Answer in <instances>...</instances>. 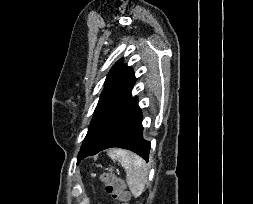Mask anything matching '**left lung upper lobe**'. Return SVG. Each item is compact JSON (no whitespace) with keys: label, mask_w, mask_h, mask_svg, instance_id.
I'll return each instance as SVG.
<instances>
[{"label":"left lung upper lobe","mask_w":253,"mask_h":204,"mask_svg":"<svg viewBox=\"0 0 253 204\" xmlns=\"http://www.w3.org/2000/svg\"><path fill=\"white\" fill-rule=\"evenodd\" d=\"M135 81L136 78L131 67L122 65V60H119L107 75L105 88L101 93L92 119L130 96Z\"/></svg>","instance_id":"5c2ea615"}]
</instances>
